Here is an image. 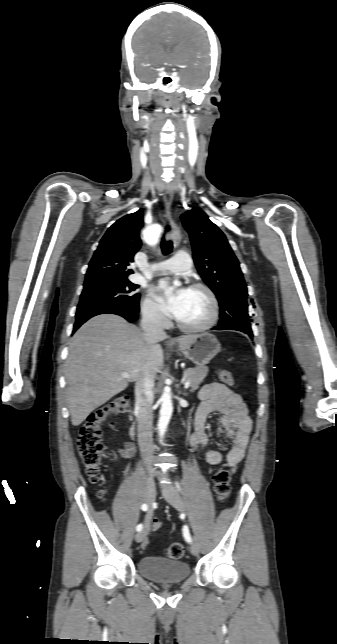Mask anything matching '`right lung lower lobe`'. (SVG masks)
Masks as SVG:
<instances>
[{
  "label": "right lung lower lobe",
  "instance_id": "98d812e1",
  "mask_svg": "<svg viewBox=\"0 0 337 644\" xmlns=\"http://www.w3.org/2000/svg\"><path fill=\"white\" fill-rule=\"evenodd\" d=\"M138 312H139V306L137 308H123V307L108 308V309H102L93 313L85 314V315L76 317L73 332H75L88 319L99 314H116L124 317L129 322H135L138 319Z\"/></svg>",
  "mask_w": 337,
  "mask_h": 644
}]
</instances>
